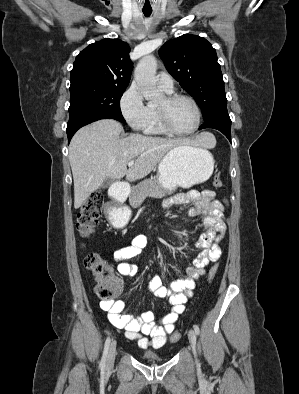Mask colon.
<instances>
[{"label": "colon", "mask_w": 299, "mask_h": 394, "mask_svg": "<svg viewBox=\"0 0 299 394\" xmlns=\"http://www.w3.org/2000/svg\"><path fill=\"white\" fill-rule=\"evenodd\" d=\"M212 184L216 188H224L219 175L214 177ZM103 204L104 196L100 192H95L82 205L78 214L77 225L79 232L84 237H90L94 233L101 216ZM84 264L96 280L95 292L97 296L103 301H113L121 291L122 281L116 276L111 265L104 260L100 253L94 251L87 253ZM217 271L218 265H212L208 274L210 282L216 277ZM180 337L181 333L176 331L171 335V341L177 342Z\"/></svg>", "instance_id": "colon-1"}]
</instances>
